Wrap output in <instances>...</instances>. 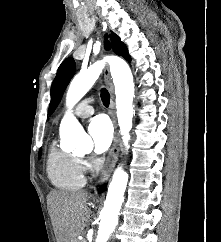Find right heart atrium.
I'll list each match as a JSON object with an SVG mask.
<instances>
[{
    "mask_svg": "<svg viewBox=\"0 0 221 242\" xmlns=\"http://www.w3.org/2000/svg\"><path fill=\"white\" fill-rule=\"evenodd\" d=\"M80 163L83 171H94L99 165V162L92 157H83L80 159Z\"/></svg>",
    "mask_w": 221,
    "mask_h": 242,
    "instance_id": "right-heart-atrium-1",
    "label": "right heart atrium"
}]
</instances>
